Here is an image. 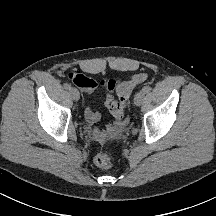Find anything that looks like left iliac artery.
<instances>
[{"label":"left iliac artery","instance_id":"1","mask_svg":"<svg viewBox=\"0 0 216 216\" xmlns=\"http://www.w3.org/2000/svg\"><path fill=\"white\" fill-rule=\"evenodd\" d=\"M142 91H143L144 93H149V92L151 91V87H150V86H145V87L142 89Z\"/></svg>","mask_w":216,"mask_h":216}]
</instances>
